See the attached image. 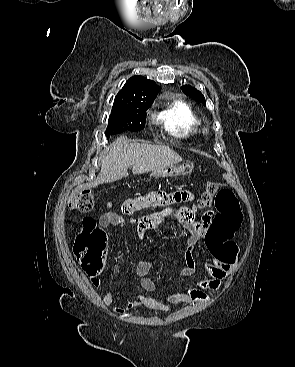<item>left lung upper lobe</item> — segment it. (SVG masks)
<instances>
[{
	"mask_svg": "<svg viewBox=\"0 0 295 367\" xmlns=\"http://www.w3.org/2000/svg\"><path fill=\"white\" fill-rule=\"evenodd\" d=\"M181 89L186 95L192 98H195L196 100L201 102L203 105H206L205 97L203 96V94L200 91H198L194 87L190 85H185Z\"/></svg>",
	"mask_w": 295,
	"mask_h": 367,
	"instance_id": "5c2ea615",
	"label": "left lung upper lobe"
}]
</instances>
